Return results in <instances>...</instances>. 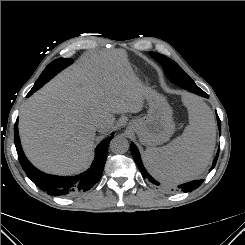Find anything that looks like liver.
<instances>
[{
  "instance_id": "1",
  "label": "liver",
  "mask_w": 245,
  "mask_h": 245,
  "mask_svg": "<svg viewBox=\"0 0 245 245\" xmlns=\"http://www.w3.org/2000/svg\"><path fill=\"white\" fill-rule=\"evenodd\" d=\"M147 93L124 50L92 54L24 104L19 119L24 152L45 172L76 173L90 159L96 130L110 131L116 113L141 111ZM98 122L104 123L100 129Z\"/></svg>"
}]
</instances>
